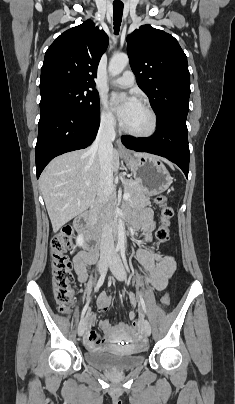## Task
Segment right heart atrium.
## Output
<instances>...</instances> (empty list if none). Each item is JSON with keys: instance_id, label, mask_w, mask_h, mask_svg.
I'll use <instances>...</instances> for the list:
<instances>
[{"instance_id": "d8ad5b80", "label": "right heart atrium", "mask_w": 235, "mask_h": 404, "mask_svg": "<svg viewBox=\"0 0 235 404\" xmlns=\"http://www.w3.org/2000/svg\"><path fill=\"white\" fill-rule=\"evenodd\" d=\"M99 118L101 126L105 129L113 130L117 125L114 114L108 109L104 101L101 102Z\"/></svg>"}]
</instances>
